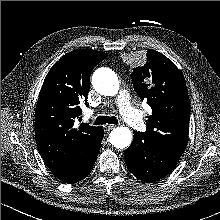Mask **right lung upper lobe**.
I'll return each instance as SVG.
<instances>
[{"instance_id":"cb5924a9","label":"right lung upper lobe","mask_w":220,"mask_h":220,"mask_svg":"<svg viewBox=\"0 0 220 220\" xmlns=\"http://www.w3.org/2000/svg\"><path fill=\"white\" fill-rule=\"evenodd\" d=\"M108 54L74 50L64 55L49 71L41 88L35 111V138L39 152L58 178L77 172L87 159L100 127L80 124L79 106L86 101L90 74Z\"/></svg>"}]
</instances>
